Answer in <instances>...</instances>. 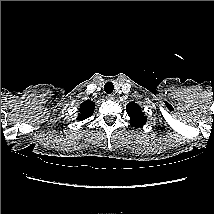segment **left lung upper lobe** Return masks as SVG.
<instances>
[{"label": "left lung upper lobe", "mask_w": 214, "mask_h": 214, "mask_svg": "<svg viewBox=\"0 0 214 214\" xmlns=\"http://www.w3.org/2000/svg\"><path fill=\"white\" fill-rule=\"evenodd\" d=\"M126 112L130 117V124L132 127L135 128L142 127L147 121V117L142 111V108L134 102H130L126 106Z\"/></svg>", "instance_id": "obj_1"}]
</instances>
